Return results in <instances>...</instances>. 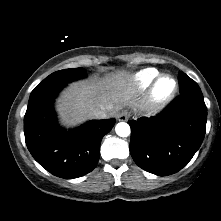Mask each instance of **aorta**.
<instances>
[{
	"label": "aorta",
	"instance_id": "1",
	"mask_svg": "<svg viewBox=\"0 0 221 221\" xmlns=\"http://www.w3.org/2000/svg\"><path fill=\"white\" fill-rule=\"evenodd\" d=\"M116 134L120 137H127L130 135V126L125 122H120L115 127Z\"/></svg>",
	"mask_w": 221,
	"mask_h": 221
}]
</instances>
